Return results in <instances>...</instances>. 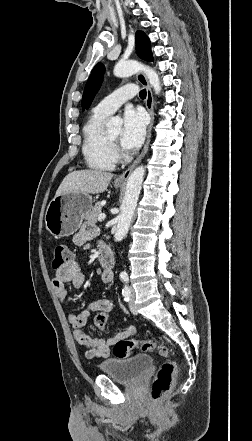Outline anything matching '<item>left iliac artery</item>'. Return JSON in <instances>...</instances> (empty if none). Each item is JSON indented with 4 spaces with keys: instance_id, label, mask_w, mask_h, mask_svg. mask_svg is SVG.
<instances>
[{
    "instance_id": "44dca946",
    "label": "left iliac artery",
    "mask_w": 252,
    "mask_h": 441,
    "mask_svg": "<svg viewBox=\"0 0 252 441\" xmlns=\"http://www.w3.org/2000/svg\"><path fill=\"white\" fill-rule=\"evenodd\" d=\"M120 278H121V280L122 281H124V282H128V274L126 273V272H122L121 274H120Z\"/></svg>"
}]
</instances>
